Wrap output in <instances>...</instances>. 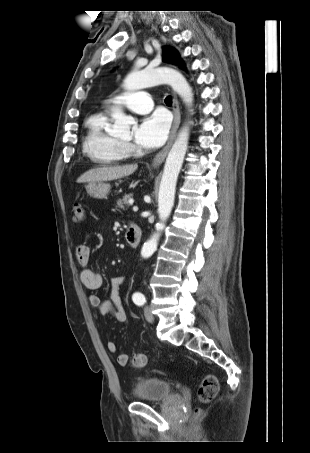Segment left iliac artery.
Returning a JSON list of instances; mask_svg holds the SVG:
<instances>
[{
	"instance_id": "44dca946",
	"label": "left iliac artery",
	"mask_w": 310,
	"mask_h": 453,
	"mask_svg": "<svg viewBox=\"0 0 310 453\" xmlns=\"http://www.w3.org/2000/svg\"><path fill=\"white\" fill-rule=\"evenodd\" d=\"M133 302L139 306H142L146 303V298L142 293L136 292L132 296Z\"/></svg>"
}]
</instances>
